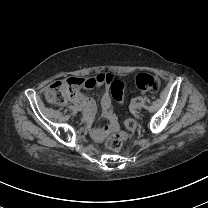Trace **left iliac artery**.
Wrapping results in <instances>:
<instances>
[{
    "label": "left iliac artery",
    "mask_w": 208,
    "mask_h": 208,
    "mask_svg": "<svg viewBox=\"0 0 208 208\" xmlns=\"http://www.w3.org/2000/svg\"><path fill=\"white\" fill-rule=\"evenodd\" d=\"M139 100H142V97H138Z\"/></svg>",
    "instance_id": "left-iliac-artery-1"
}]
</instances>
